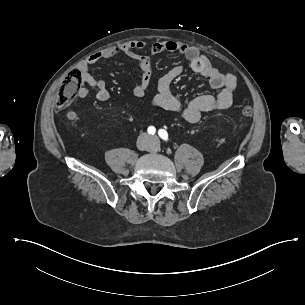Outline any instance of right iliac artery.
<instances>
[{
  "label": "right iliac artery",
  "instance_id": "1",
  "mask_svg": "<svg viewBox=\"0 0 305 305\" xmlns=\"http://www.w3.org/2000/svg\"><path fill=\"white\" fill-rule=\"evenodd\" d=\"M147 131L149 134L154 135V133L156 132V129L154 126H150Z\"/></svg>",
  "mask_w": 305,
  "mask_h": 305
}]
</instances>
